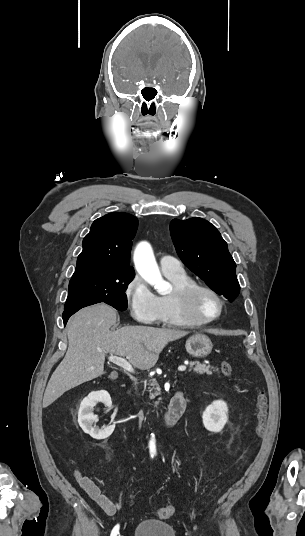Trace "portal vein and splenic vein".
Returning <instances> with one entry per match:
<instances>
[{
    "mask_svg": "<svg viewBox=\"0 0 305 536\" xmlns=\"http://www.w3.org/2000/svg\"><path fill=\"white\" fill-rule=\"evenodd\" d=\"M108 360L109 362H112V364H116V366H121V368H124V370H127V372H131V374H134V370L131 364H129L127 360H124V358H118V356H108ZM178 370H180V372H184V370H186V366H179Z\"/></svg>",
    "mask_w": 305,
    "mask_h": 536,
    "instance_id": "obj_1",
    "label": "portal vein and splenic vein"
}]
</instances>
